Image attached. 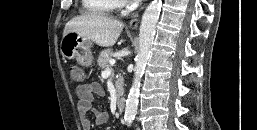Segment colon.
Instances as JSON below:
<instances>
[{
  "instance_id": "colon-1",
  "label": "colon",
  "mask_w": 257,
  "mask_h": 130,
  "mask_svg": "<svg viewBox=\"0 0 257 130\" xmlns=\"http://www.w3.org/2000/svg\"><path fill=\"white\" fill-rule=\"evenodd\" d=\"M70 75L72 80L75 82H82L85 78L83 69L78 66H72L70 68Z\"/></svg>"
}]
</instances>
